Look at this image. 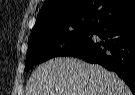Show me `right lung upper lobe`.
Wrapping results in <instances>:
<instances>
[{
	"label": "right lung upper lobe",
	"instance_id": "obj_1",
	"mask_svg": "<svg viewBox=\"0 0 135 95\" xmlns=\"http://www.w3.org/2000/svg\"><path fill=\"white\" fill-rule=\"evenodd\" d=\"M134 15L133 0H45L31 36L94 31L108 20Z\"/></svg>",
	"mask_w": 135,
	"mask_h": 95
}]
</instances>
